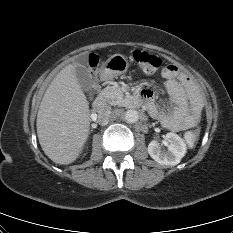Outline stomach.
<instances>
[{
    "label": "stomach",
    "mask_w": 233,
    "mask_h": 233,
    "mask_svg": "<svg viewBox=\"0 0 233 233\" xmlns=\"http://www.w3.org/2000/svg\"><path fill=\"white\" fill-rule=\"evenodd\" d=\"M128 66L129 64L125 56L114 54L103 64L101 77L103 79H111L124 74Z\"/></svg>",
    "instance_id": "stomach-1"
}]
</instances>
